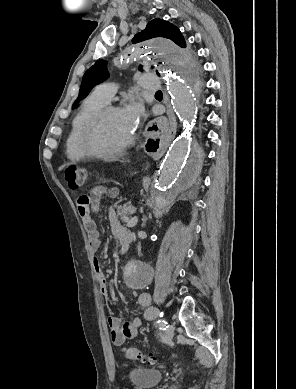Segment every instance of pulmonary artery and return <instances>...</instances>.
Returning a JSON list of instances; mask_svg holds the SVG:
<instances>
[{
	"instance_id": "obj_1",
	"label": "pulmonary artery",
	"mask_w": 296,
	"mask_h": 389,
	"mask_svg": "<svg viewBox=\"0 0 296 389\" xmlns=\"http://www.w3.org/2000/svg\"><path fill=\"white\" fill-rule=\"evenodd\" d=\"M139 85L144 89L153 91L159 88V81L154 75L146 74L140 78ZM116 90H117V86L114 83L104 82L98 84L94 88L93 93L97 97H99L100 99L108 103L115 95Z\"/></svg>"
}]
</instances>
